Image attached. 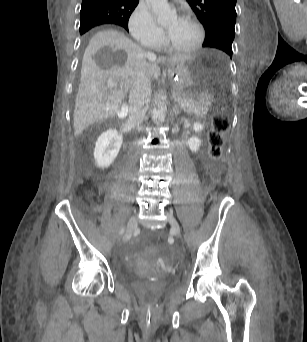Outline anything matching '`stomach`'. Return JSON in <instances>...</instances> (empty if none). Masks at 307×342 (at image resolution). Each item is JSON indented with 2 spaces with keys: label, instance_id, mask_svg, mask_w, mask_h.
Instances as JSON below:
<instances>
[{
  "label": "stomach",
  "instance_id": "stomach-1",
  "mask_svg": "<svg viewBox=\"0 0 307 342\" xmlns=\"http://www.w3.org/2000/svg\"><path fill=\"white\" fill-rule=\"evenodd\" d=\"M199 62L194 58H188L168 69V77L173 85L175 95H180L188 100H196L195 73Z\"/></svg>",
  "mask_w": 307,
  "mask_h": 342
}]
</instances>
